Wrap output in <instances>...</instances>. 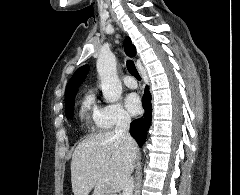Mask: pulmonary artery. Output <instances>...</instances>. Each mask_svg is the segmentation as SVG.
I'll return each mask as SVG.
<instances>
[{
  "label": "pulmonary artery",
  "mask_w": 240,
  "mask_h": 195,
  "mask_svg": "<svg viewBox=\"0 0 240 195\" xmlns=\"http://www.w3.org/2000/svg\"><path fill=\"white\" fill-rule=\"evenodd\" d=\"M124 83H125L127 86L133 87V88L137 86L136 81H135L133 78H130V77L124 78Z\"/></svg>",
  "instance_id": "pulmonary-artery-1"
}]
</instances>
